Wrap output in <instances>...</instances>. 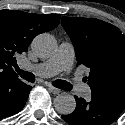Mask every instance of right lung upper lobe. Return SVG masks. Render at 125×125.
<instances>
[{"label":"right lung upper lobe","mask_w":125,"mask_h":125,"mask_svg":"<svg viewBox=\"0 0 125 125\" xmlns=\"http://www.w3.org/2000/svg\"><path fill=\"white\" fill-rule=\"evenodd\" d=\"M59 21V14L0 10V82L18 78L12 68L15 56L26 52L35 36L56 28Z\"/></svg>","instance_id":"right-lung-upper-lobe-1"}]
</instances>
